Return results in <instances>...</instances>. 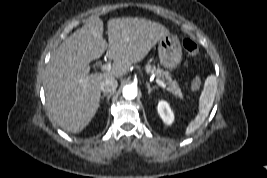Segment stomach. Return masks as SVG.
I'll return each mask as SVG.
<instances>
[{"mask_svg": "<svg viewBox=\"0 0 267 178\" xmlns=\"http://www.w3.org/2000/svg\"><path fill=\"white\" fill-rule=\"evenodd\" d=\"M158 54L161 64L169 69H176L182 60V47L177 37L168 34L158 42Z\"/></svg>", "mask_w": 267, "mask_h": 178, "instance_id": "obj_1", "label": "stomach"}]
</instances>
